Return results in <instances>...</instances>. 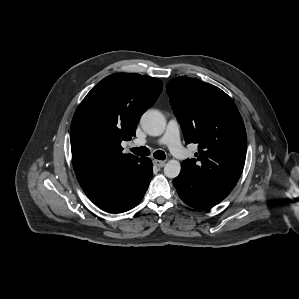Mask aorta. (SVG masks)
<instances>
[{
	"label": "aorta",
	"mask_w": 299,
	"mask_h": 299,
	"mask_svg": "<svg viewBox=\"0 0 299 299\" xmlns=\"http://www.w3.org/2000/svg\"><path fill=\"white\" fill-rule=\"evenodd\" d=\"M142 129L151 136H160L166 128V120L158 110H147L140 120ZM181 170L180 162L169 160L164 166V174L168 178H176Z\"/></svg>",
	"instance_id": "762f6f07"
}]
</instances>
